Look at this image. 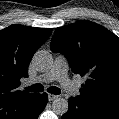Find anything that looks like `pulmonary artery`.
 I'll return each mask as SVG.
<instances>
[{"label": "pulmonary artery", "instance_id": "e3ab8cb5", "mask_svg": "<svg viewBox=\"0 0 119 119\" xmlns=\"http://www.w3.org/2000/svg\"><path fill=\"white\" fill-rule=\"evenodd\" d=\"M54 80H57L61 84V86L69 93L76 94L78 92L76 86L68 77L66 59L61 55L55 58V61L48 72L29 80V83L51 82Z\"/></svg>", "mask_w": 119, "mask_h": 119}]
</instances>
